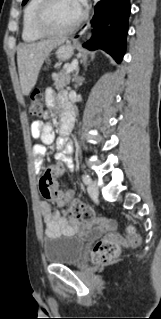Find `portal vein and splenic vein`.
<instances>
[{"label": "portal vein and splenic vein", "mask_w": 161, "mask_h": 319, "mask_svg": "<svg viewBox=\"0 0 161 319\" xmlns=\"http://www.w3.org/2000/svg\"><path fill=\"white\" fill-rule=\"evenodd\" d=\"M77 65H78L77 60H74V61L70 64V66L68 67V69L66 70V72H67V73L72 72V71L77 67Z\"/></svg>", "instance_id": "obj_1"}]
</instances>
